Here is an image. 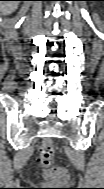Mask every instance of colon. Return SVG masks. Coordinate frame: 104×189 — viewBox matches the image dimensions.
Instances as JSON below:
<instances>
[{
	"mask_svg": "<svg viewBox=\"0 0 104 189\" xmlns=\"http://www.w3.org/2000/svg\"><path fill=\"white\" fill-rule=\"evenodd\" d=\"M55 149L50 141H45L39 152V161L44 168H49L54 162ZM46 176L50 179H58L61 174L56 171H47Z\"/></svg>",
	"mask_w": 104,
	"mask_h": 189,
	"instance_id": "5ec220e1",
	"label": "colon"
}]
</instances>
